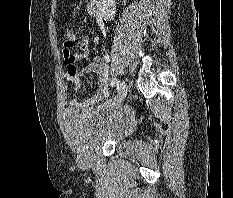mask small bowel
<instances>
[{"instance_id": "small-bowel-1", "label": "small bowel", "mask_w": 233, "mask_h": 198, "mask_svg": "<svg viewBox=\"0 0 233 198\" xmlns=\"http://www.w3.org/2000/svg\"><path fill=\"white\" fill-rule=\"evenodd\" d=\"M89 37L82 35L79 37L75 47L81 52L73 53L71 48L63 47V59L66 65V78L74 85V91H77L82 82V77L87 74H95L98 77V88L96 92L86 100L73 99L70 101V108L73 110L90 111L93 107L106 100L109 96V85L106 78L105 63L101 58H94L88 65L81 70L78 63L81 62L89 52Z\"/></svg>"}]
</instances>
